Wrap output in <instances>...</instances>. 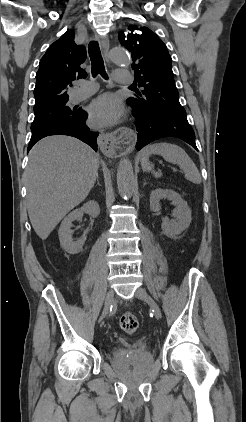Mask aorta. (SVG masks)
<instances>
[{"instance_id":"obj_1","label":"aorta","mask_w":246,"mask_h":422,"mask_svg":"<svg viewBox=\"0 0 246 422\" xmlns=\"http://www.w3.org/2000/svg\"><path fill=\"white\" fill-rule=\"evenodd\" d=\"M110 59L119 65L130 63L129 55L121 48H113L110 52ZM117 186L121 197L130 198L134 190V172L131 161L123 158L119 162L117 170Z\"/></svg>"}]
</instances>
